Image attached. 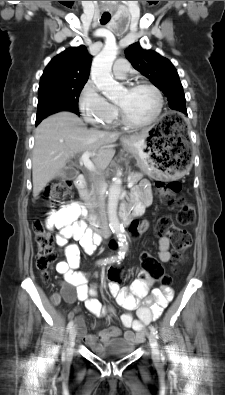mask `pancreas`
<instances>
[{"label":"pancreas","mask_w":225,"mask_h":395,"mask_svg":"<svg viewBox=\"0 0 225 395\" xmlns=\"http://www.w3.org/2000/svg\"><path fill=\"white\" fill-rule=\"evenodd\" d=\"M142 178V173L135 172L130 174V181H132L134 184H136ZM79 194L80 197L85 201L86 207L92 212L96 206L95 200L97 190L95 189V187L92 186L90 190H88L87 188L79 189Z\"/></svg>","instance_id":"obj_1"}]
</instances>
